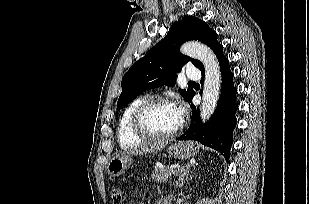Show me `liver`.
Listing matches in <instances>:
<instances>
[{
  "mask_svg": "<svg viewBox=\"0 0 309 204\" xmlns=\"http://www.w3.org/2000/svg\"><path fill=\"white\" fill-rule=\"evenodd\" d=\"M168 141H162V142H156L154 144H150L138 149H132L130 151H127L126 154L130 155H137V154H147V153H153L155 151L161 150L163 147L167 145Z\"/></svg>",
  "mask_w": 309,
  "mask_h": 204,
  "instance_id": "liver-1",
  "label": "liver"
}]
</instances>
